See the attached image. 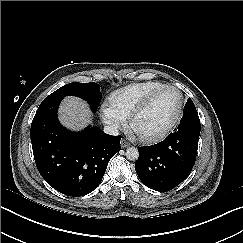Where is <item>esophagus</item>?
Returning <instances> with one entry per match:
<instances>
[{
	"label": "esophagus",
	"instance_id": "esophagus-1",
	"mask_svg": "<svg viewBox=\"0 0 243 243\" xmlns=\"http://www.w3.org/2000/svg\"><path fill=\"white\" fill-rule=\"evenodd\" d=\"M128 146H130V143H128L125 139H122L121 140V147L126 148Z\"/></svg>",
	"mask_w": 243,
	"mask_h": 243
}]
</instances>
